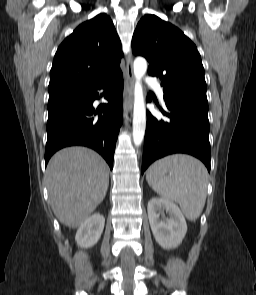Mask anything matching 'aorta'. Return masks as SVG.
<instances>
[{
	"label": "aorta",
	"mask_w": 256,
	"mask_h": 295,
	"mask_svg": "<svg viewBox=\"0 0 256 295\" xmlns=\"http://www.w3.org/2000/svg\"><path fill=\"white\" fill-rule=\"evenodd\" d=\"M147 70V62L144 58L138 57L134 61V111H133V141L139 146L145 135L146 109L143 96L142 78Z\"/></svg>",
	"instance_id": "762f6f07"
}]
</instances>
